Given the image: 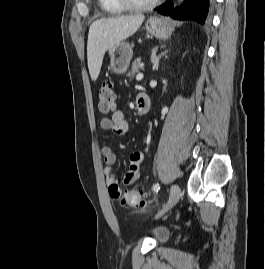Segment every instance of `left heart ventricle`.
Returning a JSON list of instances; mask_svg holds the SVG:
<instances>
[{"instance_id":"b2bd125f","label":"left heart ventricle","mask_w":265,"mask_h":269,"mask_svg":"<svg viewBox=\"0 0 265 269\" xmlns=\"http://www.w3.org/2000/svg\"><path fill=\"white\" fill-rule=\"evenodd\" d=\"M136 2H146V1H149V0H134Z\"/></svg>"}]
</instances>
